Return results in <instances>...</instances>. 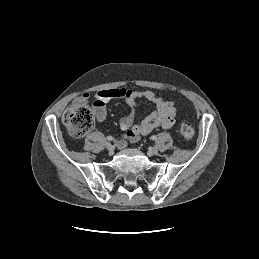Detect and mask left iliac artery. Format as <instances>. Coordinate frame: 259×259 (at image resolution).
<instances>
[{
  "label": "left iliac artery",
  "instance_id": "obj_1",
  "mask_svg": "<svg viewBox=\"0 0 259 259\" xmlns=\"http://www.w3.org/2000/svg\"><path fill=\"white\" fill-rule=\"evenodd\" d=\"M156 138H157V137H156L155 135H152V136H151V140H156Z\"/></svg>",
  "mask_w": 259,
  "mask_h": 259
}]
</instances>
